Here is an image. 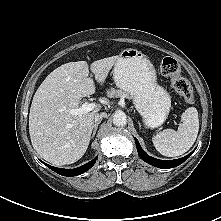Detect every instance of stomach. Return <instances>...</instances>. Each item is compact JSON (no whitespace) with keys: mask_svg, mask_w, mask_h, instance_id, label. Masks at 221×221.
Returning a JSON list of instances; mask_svg holds the SVG:
<instances>
[{"mask_svg":"<svg viewBox=\"0 0 221 221\" xmlns=\"http://www.w3.org/2000/svg\"><path fill=\"white\" fill-rule=\"evenodd\" d=\"M113 79L118 88L128 93L148 128L161 126L171 107L169 93L157 83L150 60L137 49L121 51L114 64Z\"/></svg>","mask_w":221,"mask_h":221,"instance_id":"stomach-1","label":"stomach"}]
</instances>
